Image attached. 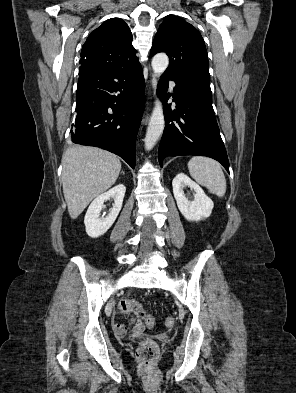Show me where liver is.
<instances>
[{
    "label": "liver",
    "mask_w": 296,
    "mask_h": 393,
    "mask_svg": "<svg viewBox=\"0 0 296 393\" xmlns=\"http://www.w3.org/2000/svg\"><path fill=\"white\" fill-rule=\"evenodd\" d=\"M64 198L72 219H76L97 196L117 180L121 162L108 151L96 147L74 146L62 157Z\"/></svg>",
    "instance_id": "6515ba94"
}]
</instances>
